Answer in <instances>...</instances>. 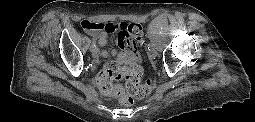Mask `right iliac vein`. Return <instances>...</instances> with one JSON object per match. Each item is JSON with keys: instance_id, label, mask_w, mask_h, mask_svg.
I'll list each match as a JSON object with an SVG mask.
<instances>
[{"instance_id": "1", "label": "right iliac vein", "mask_w": 255, "mask_h": 122, "mask_svg": "<svg viewBox=\"0 0 255 122\" xmlns=\"http://www.w3.org/2000/svg\"><path fill=\"white\" fill-rule=\"evenodd\" d=\"M90 51L93 58H97L99 56V50L97 49V47L90 48Z\"/></svg>"}]
</instances>
